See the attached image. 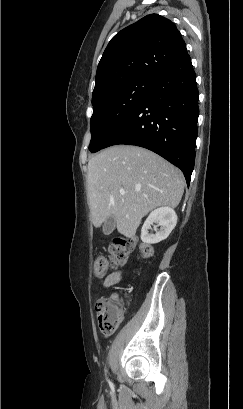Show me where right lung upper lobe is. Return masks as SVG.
Here are the masks:
<instances>
[{
	"instance_id": "cb5924a9",
	"label": "right lung upper lobe",
	"mask_w": 243,
	"mask_h": 409,
	"mask_svg": "<svg viewBox=\"0 0 243 409\" xmlns=\"http://www.w3.org/2000/svg\"><path fill=\"white\" fill-rule=\"evenodd\" d=\"M186 53L173 22L158 14L145 16L110 40L98 64L92 102L131 80L156 82Z\"/></svg>"
}]
</instances>
